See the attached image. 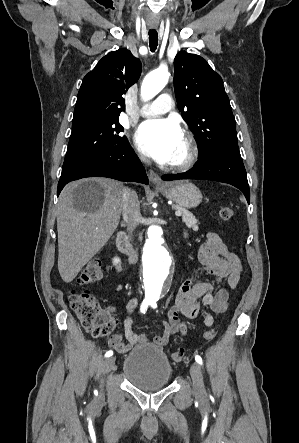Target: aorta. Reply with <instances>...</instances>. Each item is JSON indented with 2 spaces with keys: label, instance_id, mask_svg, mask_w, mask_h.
<instances>
[{
  "label": "aorta",
  "instance_id": "1",
  "mask_svg": "<svg viewBox=\"0 0 299 443\" xmlns=\"http://www.w3.org/2000/svg\"><path fill=\"white\" fill-rule=\"evenodd\" d=\"M169 72L157 69L149 73L141 86V97L148 101L155 97L167 84ZM172 255L165 241L161 226L151 225L146 230L142 265L145 298L153 301L160 299L166 292L168 277L172 266Z\"/></svg>",
  "mask_w": 299,
  "mask_h": 443
}]
</instances>
